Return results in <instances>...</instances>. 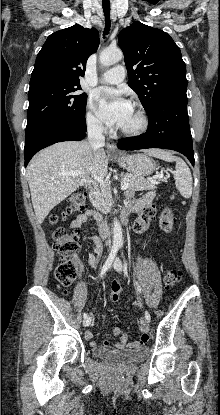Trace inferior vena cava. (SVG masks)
I'll use <instances>...</instances> for the list:
<instances>
[{"instance_id":"602c4592","label":"inferior vena cava","mask_w":220,"mask_h":415,"mask_svg":"<svg viewBox=\"0 0 220 415\" xmlns=\"http://www.w3.org/2000/svg\"><path fill=\"white\" fill-rule=\"evenodd\" d=\"M88 142L93 152L101 149L105 145V137L103 135V127L98 122H91L87 126Z\"/></svg>"}]
</instances>
